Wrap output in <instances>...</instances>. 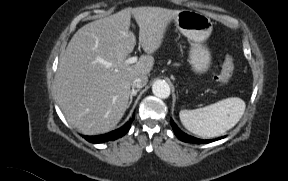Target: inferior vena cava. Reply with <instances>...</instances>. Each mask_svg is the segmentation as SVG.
<instances>
[{
  "mask_svg": "<svg viewBox=\"0 0 288 181\" xmlns=\"http://www.w3.org/2000/svg\"><path fill=\"white\" fill-rule=\"evenodd\" d=\"M148 82V77L145 75L135 77L132 81V87L133 88H142L144 87Z\"/></svg>",
  "mask_w": 288,
  "mask_h": 181,
  "instance_id": "obj_1",
  "label": "inferior vena cava"
}]
</instances>
